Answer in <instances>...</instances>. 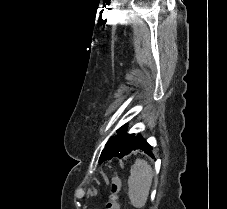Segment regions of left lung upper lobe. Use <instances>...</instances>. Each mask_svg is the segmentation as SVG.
<instances>
[{
  "mask_svg": "<svg viewBox=\"0 0 227 209\" xmlns=\"http://www.w3.org/2000/svg\"><path fill=\"white\" fill-rule=\"evenodd\" d=\"M127 125H123L117 130V135L111 137L103 150L100 162L110 160L113 157L122 158V156L130 149L136 139L134 134H128Z\"/></svg>",
  "mask_w": 227,
  "mask_h": 209,
  "instance_id": "left-lung-upper-lobe-1",
  "label": "left lung upper lobe"
}]
</instances>
